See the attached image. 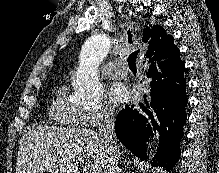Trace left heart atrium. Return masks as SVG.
<instances>
[{
	"label": "left heart atrium",
	"instance_id": "39dd6f15",
	"mask_svg": "<svg viewBox=\"0 0 219 173\" xmlns=\"http://www.w3.org/2000/svg\"><path fill=\"white\" fill-rule=\"evenodd\" d=\"M128 96L127 89L123 83L115 82L111 84L108 91V97L112 104L119 105L123 103Z\"/></svg>",
	"mask_w": 219,
	"mask_h": 173
}]
</instances>
